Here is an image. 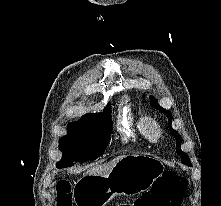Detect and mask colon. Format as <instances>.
<instances>
[{
    "instance_id": "obj_1",
    "label": "colon",
    "mask_w": 221,
    "mask_h": 206,
    "mask_svg": "<svg viewBox=\"0 0 221 206\" xmlns=\"http://www.w3.org/2000/svg\"><path fill=\"white\" fill-rule=\"evenodd\" d=\"M187 188V181L172 172H166L155 181L150 191L136 199L133 205L120 206H179ZM56 206H73L71 185L60 180L56 186Z\"/></svg>"
}]
</instances>
